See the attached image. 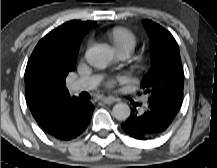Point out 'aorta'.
<instances>
[{
	"label": "aorta",
	"mask_w": 217,
	"mask_h": 168,
	"mask_svg": "<svg viewBox=\"0 0 217 168\" xmlns=\"http://www.w3.org/2000/svg\"><path fill=\"white\" fill-rule=\"evenodd\" d=\"M85 58L90 65L96 68L106 67L110 60L107 47L104 45L89 48L85 53ZM112 115L117 120H126L130 115V108L125 103H118L113 107Z\"/></svg>",
	"instance_id": "762f6f07"
}]
</instances>
